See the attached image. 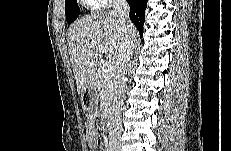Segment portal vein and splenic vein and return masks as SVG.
<instances>
[{
	"label": "portal vein and splenic vein",
	"mask_w": 231,
	"mask_h": 151,
	"mask_svg": "<svg viewBox=\"0 0 231 151\" xmlns=\"http://www.w3.org/2000/svg\"><path fill=\"white\" fill-rule=\"evenodd\" d=\"M98 48L101 50L102 53L106 52L107 49L103 45H98ZM102 71L104 73H109L114 70L113 64L110 61H106L102 66Z\"/></svg>",
	"instance_id": "obj_1"
}]
</instances>
